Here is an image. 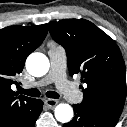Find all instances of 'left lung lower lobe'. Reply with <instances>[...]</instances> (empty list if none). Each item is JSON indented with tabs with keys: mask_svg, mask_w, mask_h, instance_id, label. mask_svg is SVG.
Wrapping results in <instances>:
<instances>
[{
	"mask_svg": "<svg viewBox=\"0 0 127 127\" xmlns=\"http://www.w3.org/2000/svg\"><path fill=\"white\" fill-rule=\"evenodd\" d=\"M74 118L64 127H115L118 119L95 112L81 104L73 105Z\"/></svg>",
	"mask_w": 127,
	"mask_h": 127,
	"instance_id": "obj_1",
	"label": "left lung lower lobe"
}]
</instances>
